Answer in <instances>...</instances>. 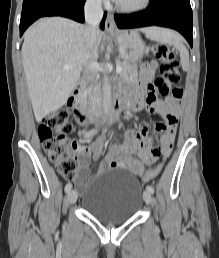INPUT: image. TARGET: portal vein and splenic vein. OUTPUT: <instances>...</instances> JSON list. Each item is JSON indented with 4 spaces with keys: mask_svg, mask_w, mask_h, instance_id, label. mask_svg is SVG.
Returning a JSON list of instances; mask_svg holds the SVG:
<instances>
[{
    "mask_svg": "<svg viewBox=\"0 0 219 258\" xmlns=\"http://www.w3.org/2000/svg\"><path fill=\"white\" fill-rule=\"evenodd\" d=\"M73 68H74L73 65H64L63 66L64 70H70V69H73ZM121 71H122V67L120 65H116V72L120 73Z\"/></svg>",
    "mask_w": 219,
    "mask_h": 258,
    "instance_id": "1",
    "label": "portal vein and splenic vein"
}]
</instances>
